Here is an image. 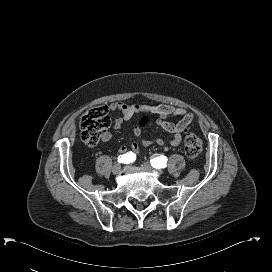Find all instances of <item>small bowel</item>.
<instances>
[{
	"instance_id": "c3829d8e",
	"label": "small bowel",
	"mask_w": 272,
	"mask_h": 272,
	"mask_svg": "<svg viewBox=\"0 0 272 272\" xmlns=\"http://www.w3.org/2000/svg\"><path fill=\"white\" fill-rule=\"evenodd\" d=\"M109 110L121 114V117L115 119L113 124L116 130L120 129L124 121L131 119L135 114L144 113L157 116L156 124L173 134V137L170 141L172 146H177L181 143L182 133L188 131L193 120L192 114L186 109L166 104L151 106L145 104H126L122 102H115L109 106ZM170 116L181 117V120L177 123H172L167 120V118ZM142 127L143 124L136 125L133 128L134 135L139 136L141 134ZM111 137V133L109 131H105L101 136V140L103 142H107L111 139ZM141 145L145 148L151 145H157L166 148L164 141L160 138L155 140L144 139L142 140ZM139 149L140 145L134 142L129 146H121L119 148V152L123 154L128 151H132L138 154Z\"/></svg>"
}]
</instances>
